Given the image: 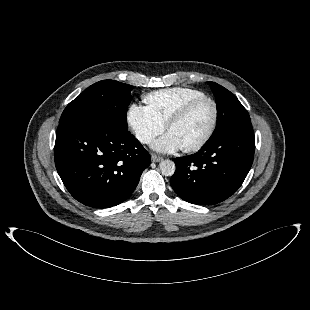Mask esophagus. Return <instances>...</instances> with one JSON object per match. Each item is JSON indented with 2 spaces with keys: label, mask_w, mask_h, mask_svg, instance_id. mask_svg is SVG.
Segmentation results:
<instances>
[{
  "label": "esophagus",
  "mask_w": 310,
  "mask_h": 310,
  "mask_svg": "<svg viewBox=\"0 0 310 310\" xmlns=\"http://www.w3.org/2000/svg\"><path fill=\"white\" fill-rule=\"evenodd\" d=\"M151 159L153 162L157 163V162H160L162 160V157H160L156 154H151Z\"/></svg>",
  "instance_id": "34e87169"
}]
</instances>
